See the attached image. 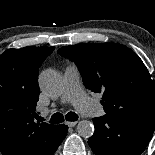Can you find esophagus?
Returning <instances> with one entry per match:
<instances>
[{
  "mask_svg": "<svg viewBox=\"0 0 155 155\" xmlns=\"http://www.w3.org/2000/svg\"><path fill=\"white\" fill-rule=\"evenodd\" d=\"M66 124L69 126V127H74L77 122L76 121H73V122H66Z\"/></svg>",
  "mask_w": 155,
  "mask_h": 155,
  "instance_id": "esophagus-1",
  "label": "esophagus"
}]
</instances>
